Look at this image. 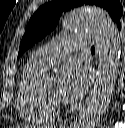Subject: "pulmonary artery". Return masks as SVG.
I'll return each mask as SVG.
<instances>
[{
  "label": "pulmonary artery",
  "mask_w": 125,
  "mask_h": 128,
  "mask_svg": "<svg viewBox=\"0 0 125 128\" xmlns=\"http://www.w3.org/2000/svg\"><path fill=\"white\" fill-rule=\"evenodd\" d=\"M92 43L93 37L89 34L66 36L57 43L37 49L32 53L30 60L45 69L72 53L89 49Z\"/></svg>",
  "instance_id": "obj_1"
}]
</instances>
